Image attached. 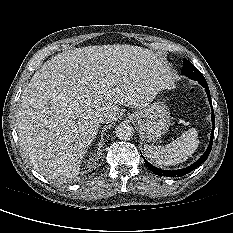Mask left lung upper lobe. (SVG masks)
<instances>
[{
  "label": "left lung upper lobe",
  "mask_w": 233,
  "mask_h": 233,
  "mask_svg": "<svg viewBox=\"0 0 233 233\" xmlns=\"http://www.w3.org/2000/svg\"><path fill=\"white\" fill-rule=\"evenodd\" d=\"M182 74L186 75L190 79L201 81L205 80L204 76L201 74V72L187 59H183V67H182Z\"/></svg>",
  "instance_id": "5c2ea615"
}]
</instances>
